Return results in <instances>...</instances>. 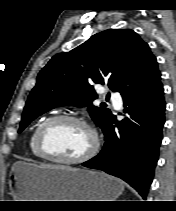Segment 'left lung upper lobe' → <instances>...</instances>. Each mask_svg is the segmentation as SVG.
Instances as JSON below:
<instances>
[{"instance_id":"left-lung-upper-lobe-1","label":"left lung upper lobe","mask_w":176,"mask_h":211,"mask_svg":"<svg viewBox=\"0 0 176 211\" xmlns=\"http://www.w3.org/2000/svg\"><path fill=\"white\" fill-rule=\"evenodd\" d=\"M161 75L156 57L133 30L109 29L67 53L55 55L40 71L27 99L19 132L59 104L87 106L103 130L112 120L110 110L94 106L93 83L108 84L122 97Z\"/></svg>"}]
</instances>
